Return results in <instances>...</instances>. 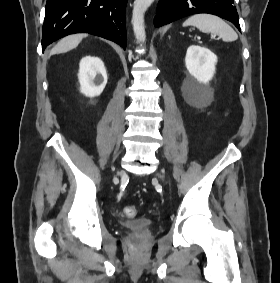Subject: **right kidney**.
I'll return each instance as SVG.
<instances>
[{
    "label": "right kidney",
    "instance_id": "1",
    "mask_svg": "<svg viewBox=\"0 0 280 283\" xmlns=\"http://www.w3.org/2000/svg\"><path fill=\"white\" fill-rule=\"evenodd\" d=\"M78 79L80 91L87 97L99 96L107 84V72L98 57L86 56L79 64Z\"/></svg>",
    "mask_w": 280,
    "mask_h": 283
}]
</instances>
